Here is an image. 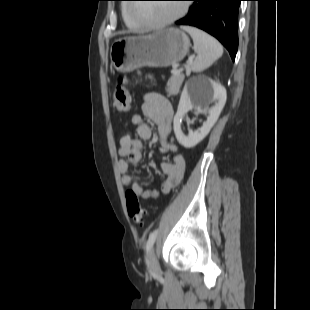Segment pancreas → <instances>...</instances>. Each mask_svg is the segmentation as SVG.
Wrapping results in <instances>:
<instances>
[{"instance_id":"cf45deb5","label":"pancreas","mask_w":310,"mask_h":310,"mask_svg":"<svg viewBox=\"0 0 310 310\" xmlns=\"http://www.w3.org/2000/svg\"><path fill=\"white\" fill-rule=\"evenodd\" d=\"M184 78L185 76L181 73H172L166 87L169 96H174L179 93Z\"/></svg>"}]
</instances>
